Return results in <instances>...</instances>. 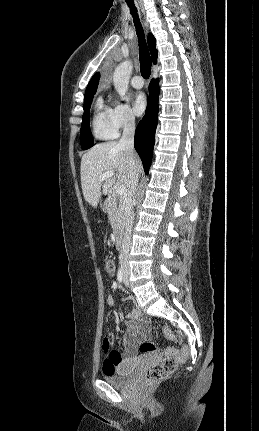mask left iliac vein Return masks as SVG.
I'll use <instances>...</instances> for the list:
<instances>
[{
    "label": "left iliac vein",
    "instance_id": "1",
    "mask_svg": "<svg viewBox=\"0 0 259 431\" xmlns=\"http://www.w3.org/2000/svg\"><path fill=\"white\" fill-rule=\"evenodd\" d=\"M124 283H125V285H129V282H128V270L126 269V272H125V276H124Z\"/></svg>",
    "mask_w": 259,
    "mask_h": 431
}]
</instances>
